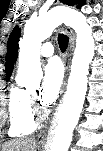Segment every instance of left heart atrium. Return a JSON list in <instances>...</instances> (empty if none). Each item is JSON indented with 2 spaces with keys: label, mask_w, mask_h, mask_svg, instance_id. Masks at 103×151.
<instances>
[{
  "label": "left heart atrium",
  "mask_w": 103,
  "mask_h": 151,
  "mask_svg": "<svg viewBox=\"0 0 103 151\" xmlns=\"http://www.w3.org/2000/svg\"><path fill=\"white\" fill-rule=\"evenodd\" d=\"M63 80V71L60 63L50 61L44 67V78L39 93V101L43 106L50 105L57 97Z\"/></svg>",
  "instance_id": "39dd6f15"
}]
</instances>
